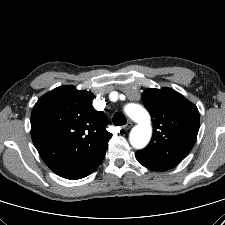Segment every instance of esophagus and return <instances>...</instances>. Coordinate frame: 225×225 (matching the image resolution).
I'll return each instance as SVG.
<instances>
[{
  "mask_svg": "<svg viewBox=\"0 0 225 225\" xmlns=\"http://www.w3.org/2000/svg\"><path fill=\"white\" fill-rule=\"evenodd\" d=\"M132 123L131 122H128L126 125H124L123 126V129L125 130V131H128L131 127H132Z\"/></svg>",
  "mask_w": 225,
  "mask_h": 225,
  "instance_id": "obj_1",
  "label": "esophagus"
}]
</instances>
